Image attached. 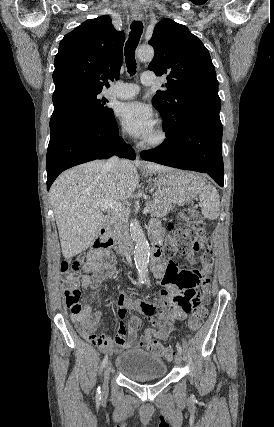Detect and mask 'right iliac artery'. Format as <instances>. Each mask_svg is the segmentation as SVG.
Masks as SVG:
<instances>
[{
  "label": "right iliac artery",
  "instance_id": "82829eb1",
  "mask_svg": "<svg viewBox=\"0 0 274 427\" xmlns=\"http://www.w3.org/2000/svg\"><path fill=\"white\" fill-rule=\"evenodd\" d=\"M138 283H139V285H140V284H141V283H143V282L139 281ZM107 361H108V356L106 355V356L104 357L103 361H102V367H105V365H106ZM96 399H97V400H98V399H99V400L101 399V390H100V386L97 388V392H96Z\"/></svg>",
  "mask_w": 274,
  "mask_h": 427
}]
</instances>
